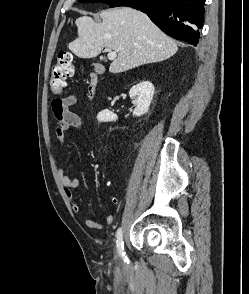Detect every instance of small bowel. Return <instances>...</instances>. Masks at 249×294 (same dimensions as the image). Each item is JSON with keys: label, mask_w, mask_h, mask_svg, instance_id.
Segmentation results:
<instances>
[{"label": "small bowel", "mask_w": 249, "mask_h": 294, "mask_svg": "<svg viewBox=\"0 0 249 294\" xmlns=\"http://www.w3.org/2000/svg\"><path fill=\"white\" fill-rule=\"evenodd\" d=\"M77 102V97L74 94L67 95L63 98H58L52 102V112L55 120L57 121L56 138L60 148L64 146V138L67 132H72L74 134H79L83 130V123L81 117L70 111V108L74 106ZM58 175L61 184L64 187V193L67 199L71 203V208L73 212L79 213L81 211V206L75 201L74 189L78 186V180L71 177L65 173V171L59 167ZM114 221V215L109 213L105 217V222L100 223L92 218L86 220V226L90 229L100 230L106 226H109Z\"/></svg>", "instance_id": "1"}]
</instances>
